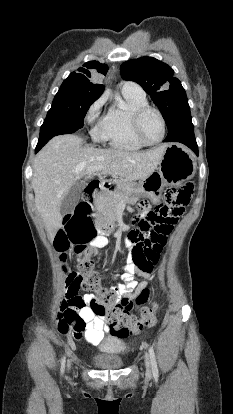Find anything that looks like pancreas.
<instances>
[{"mask_svg": "<svg viewBox=\"0 0 233 414\" xmlns=\"http://www.w3.org/2000/svg\"><path fill=\"white\" fill-rule=\"evenodd\" d=\"M121 185L127 183V181H119ZM123 200L122 193L118 190L114 193L104 191L100 194L99 210L101 214L107 218L115 219L118 204Z\"/></svg>", "mask_w": 233, "mask_h": 414, "instance_id": "cf45deb5", "label": "pancreas"}]
</instances>
